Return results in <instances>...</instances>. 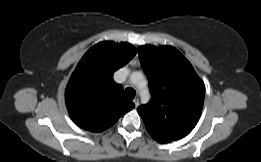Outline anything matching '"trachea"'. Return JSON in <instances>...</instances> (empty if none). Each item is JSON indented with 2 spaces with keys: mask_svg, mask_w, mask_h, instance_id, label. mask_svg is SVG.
<instances>
[{
  "mask_svg": "<svg viewBox=\"0 0 261 162\" xmlns=\"http://www.w3.org/2000/svg\"><path fill=\"white\" fill-rule=\"evenodd\" d=\"M124 95H125L126 99L132 100L135 97V91L131 88H126Z\"/></svg>",
  "mask_w": 261,
  "mask_h": 162,
  "instance_id": "1",
  "label": "trachea"
}]
</instances>
